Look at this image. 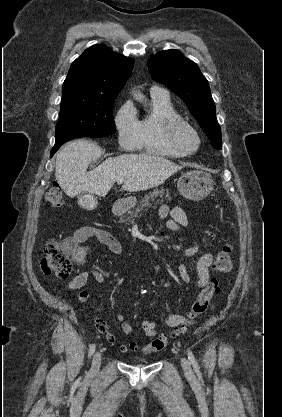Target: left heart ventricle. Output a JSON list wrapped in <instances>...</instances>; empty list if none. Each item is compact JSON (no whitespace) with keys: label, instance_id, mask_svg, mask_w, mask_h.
<instances>
[{"label":"left heart ventricle","instance_id":"left-heart-ventricle-1","mask_svg":"<svg viewBox=\"0 0 282 417\" xmlns=\"http://www.w3.org/2000/svg\"><path fill=\"white\" fill-rule=\"evenodd\" d=\"M159 129L163 136L167 135V126L163 120L159 123ZM183 145L188 149L193 151L197 145L196 138L191 134H185L182 138Z\"/></svg>","mask_w":282,"mask_h":417}]
</instances>
